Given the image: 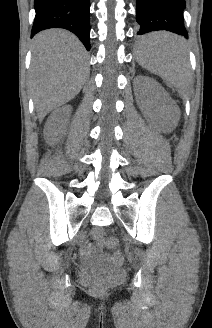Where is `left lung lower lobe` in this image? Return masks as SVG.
<instances>
[{
  "instance_id": "0a47b994",
  "label": "left lung lower lobe",
  "mask_w": 212,
  "mask_h": 328,
  "mask_svg": "<svg viewBox=\"0 0 212 328\" xmlns=\"http://www.w3.org/2000/svg\"><path fill=\"white\" fill-rule=\"evenodd\" d=\"M184 9L185 0H137L136 21L140 25L138 35L167 30L188 38L184 27ZM146 37L140 39V45H150Z\"/></svg>"
}]
</instances>
